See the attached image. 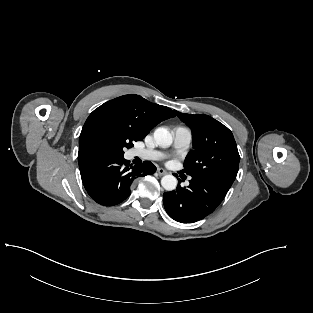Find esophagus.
I'll list each match as a JSON object with an SVG mask.
<instances>
[{"label": "esophagus", "instance_id": "34e87169", "mask_svg": "<svg viewBox=\"0 0 313 313\" xmlns=\"http://www.w3.org/2000/svg\"><path fill=\"white\" fill-rule=\"evenodd\" d=\"M157 173L162 176V175H165L167 174V171L163 168H157Z\"/></svg>", "mask_w": 313, "mask_h": 313}]
</instances>
